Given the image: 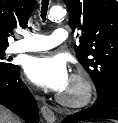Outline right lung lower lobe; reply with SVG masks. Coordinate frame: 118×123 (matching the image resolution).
<instances>
[{"label": "right lung lower lobe", "instance_id": "obj_1", "mask_svg": "<svg viewBox=\"0 0 118 123\" xmlns=\"http://www.w3.org/2000/svg\"><path fill=\"white\" fill-rule=\"evenodd\" d=\"M19 77V67L10 73L0 74V104L27 122L38 123L37 103Z\"/></svg>", "mask_w": 118, "mask_h": 123}]
</instances>
